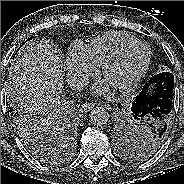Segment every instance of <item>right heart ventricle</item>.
Returning <instances> with one entry per match:
<instances>
[{
  "instance_id": "obj_1",
  "label": "right heart ventricle",
  "mask_w": 184,
  "mask_h": 184,
  "mask_svg": "<svg viewBox=\"0 0 184 184\" xmlns=\"http://www.w3.org/2000/svg\"><path fill=\"white\" fill-rule=\"evenodd\" d=\"M134 41L137 39L125 32L111 31L94 38L86 48L91 59L102 65L116 50Z\"/></svg>"
}]
</instances>
